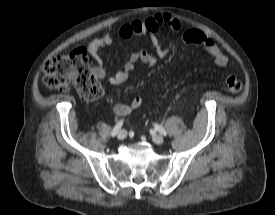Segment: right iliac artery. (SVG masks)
Returning <instances> with one entry per match:
<instances>
[{
	"label": "right iliac artery",
	"mask_w": 275,
	"mask_h": 215,
	"mask_svg": "<svg viewBox=\"0 0 275 215\" xmlns=\"http://www.w3.org/2000/svg\"><path fill=\"white\" fill-rule=\"evenodd\" d=\"M123 125V120H120L116 125L115 127L113 128L112 132H111V135L114 137L116 136V134L118 133V131L120 130V128L122 127Z\"/></svg>",
	"instance_id": "obj_1"
}]
</instances>
